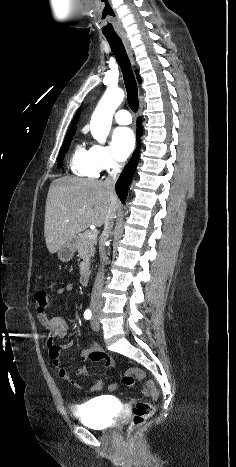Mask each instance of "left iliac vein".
<instances>
[{"mask_svg": "<svg viewBox=\"0 0 236 467\" xmlns=\"http://www.w3.org/2000/svg\"><path fill=\"white\" fill-rule=\"evenodd\" d=\"M91 327L94 331H98L100 329V324H99L97 315H94V317L92 318Z\"/></svg>", "mask_w": 236, "mask_h": 467, "instance_id": "4c4485c4", "label": "left iliac vein"}]
</instances>
